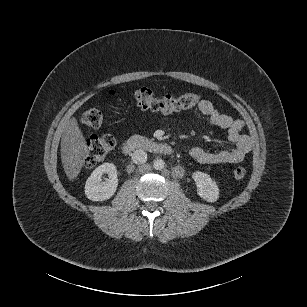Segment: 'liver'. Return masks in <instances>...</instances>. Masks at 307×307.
<instances>
[{
  "label": "liver",
  "mask_w": 307,
  "mask_h": 307,
  "mask_svg": "<svg viewBox=\"0 0 307 307\" xmlns=\"http://www.w3.org/2000/svg\"><path fill=\"white\" fill-rule=\"evenodd\" d=\"M62 127L61 161L69 180L75 179L81 171L89 150L77 120L71 118L60 124Z\"/></svg>",
  "instance_id": "obj_1"
}]
</instances>
